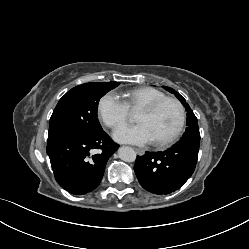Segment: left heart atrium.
Segmentation results:
<instances>
[{"label":"left heart atrium","mask_w":249,"mask_h":249,"mask_svg":"<svg viewBox=\"0 0 249 249\" xmlns=\"http://www.w3.org/2000/svg\"><path fill=\"white\" fill-rule=\"evenodd\" d=\"M114 138L119 142L136 145H143L154 141L148 127L143 123L118 128L114 132Z\"/></svg>","instance_id":"obj_1"}]
</instances>
